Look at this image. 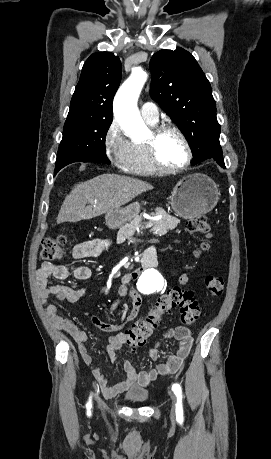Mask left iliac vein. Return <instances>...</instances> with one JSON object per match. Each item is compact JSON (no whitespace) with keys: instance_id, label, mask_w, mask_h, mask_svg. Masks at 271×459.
Masks as SVG:
<instances>
[{"instance_id":"left-iliac-vein-1","label":"left iliac vein","mask_w":271,"mask_h":459,"mask_svg":"<svg viewBox=\"0 0 271 459\" xmlns=\"http://www.w3.org/2000/svg\"><path fill=\"white\" fill-rule=\"evenodd\" d=\"M169 394L171 395V398H172V411H171V416L174 417L175 416V413H176V403H177V398L176 396L169 392Z\"/></svg>"}]
</instances>
